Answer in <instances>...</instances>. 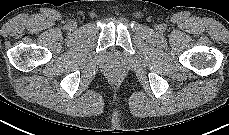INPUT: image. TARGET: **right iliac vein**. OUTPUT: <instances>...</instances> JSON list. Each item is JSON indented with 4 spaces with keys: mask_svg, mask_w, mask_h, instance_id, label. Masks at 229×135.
<instances>
[{
    "mask_svg": "<svg viewBox=\"0 0 229 135\" xmlns=\"http://www.w3.org/2000/svg\"><path fill=\"white\" fill-rule=\"evenodd\" d=\"M69 27H70L71 29H74V28H75V24L71 23V24L69 25Z\"/></svg>",
    "mask_w": 229,
    "mask_h": 135,
    "instance_id": "obj_1",
    "label": "right iliac vein"
}]
</instances>
